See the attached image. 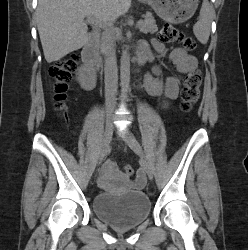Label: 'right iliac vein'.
I'll list each match as a JSON object with an SVG mask.
<instances>
[{
  "label": "right iliac vein",
  "mask_w": 248,
  "mask_h": 250,
  "mask_svg": "<svg viewBox=\"0 0 248 250\" xmlns=\"http://www.w3.org/2000/svg\"><path fill=\"white\" fill-rule=\"evenodd\" d=\"M113 135V122L111 119H107L105 124V131L103 135V139L101 142L99 154H98V164H101L104 160L110 145V141Z\"/></svg>",
  "instance_id": "1"
}]
</instances>
